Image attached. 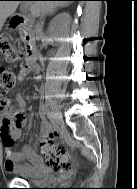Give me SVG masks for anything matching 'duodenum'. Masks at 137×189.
I'll return each instance as SVG.
<instances>
[{
	"mask_svg": "<svg viewBox=\"0 0 137 189\" xmlns=\"http://www.w3.org/2000/svg\"><path fill=\"white\" fill-rule=\"evenodd\" d=\"M34 26V21L25 16H15L10 21V28L14 31H21L22 40L25 44L27 52V66L32 71L39 70L37 66V49L35 45L34 36L32 33V28Z\"/></svg>",
	"mask_w": 137,
	"mask_h": 189,
	"instance_id": "duodenum-1",
	"label": "duodenum"
}]
</instances>
